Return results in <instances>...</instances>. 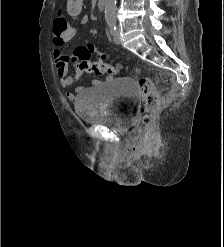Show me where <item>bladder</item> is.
<instances>
[{
	"mask_svg": "<svg viewBox=\"0 0 224 247\" xmlns=\"http://www.w3.org/2000/svg\"><path fill=\"white\" fill-rule=\"evenodd\" d=\"M139 103L135 81L113 78L84 89L75 101L74 110L85 124L124 133L133 126Z\"/></svg>",
	"mask_w": 224,
	"mask_h": 247,
	"instance_id": "31cf9c89",
	"label": "bladder"
}]
</instances>
